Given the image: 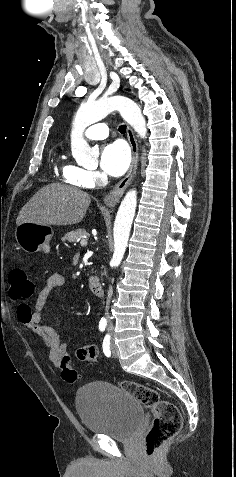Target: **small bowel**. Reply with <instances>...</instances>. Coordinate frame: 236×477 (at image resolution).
I'll list each match as a JSON object with an SVG mask.
<instances>
[{"label":"small bowel","mask_w":236,"mask_h":477,"mask_svg":"<svg viewBox=\"0 0 236 477\" xmlns=\"http://www.w3.org/2000/svg\"><path fill=\"white\" fill-rule=\"evenodd\" d=\"M65 284V278L61 274L51 275L39 291L33 308L18 311L20 321L29 329L41 336L46 348L48 349V358L55 367L62 366V358L69 354V348L63 344L57 332L48 324L43 322V308L51 298L56 289ZM94 355H98V348L90 345Z\"/></svg>","instance_id":"small-bowel-1"}]
</instances>
